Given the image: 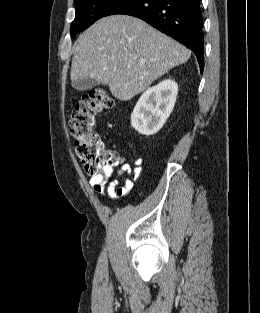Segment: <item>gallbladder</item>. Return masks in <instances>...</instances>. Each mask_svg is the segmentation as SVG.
<instances>
[{
    "mask_svg": "<svg viewBox=\"0 0 260 313\" xmlns=\"http://www.w3.org/2000/svg\"><path fill=\"white\" fill-rule=\"evenodd\" d=\"M97 85H99V82L92 78H86L72 82V87L80 91L91 89Z\"/></svg>",
    "mask_w": 260,
    "mask_h": 313,
    "instance_id": "1",
    "label": "gallbladder"
}]
</instances>
